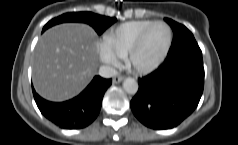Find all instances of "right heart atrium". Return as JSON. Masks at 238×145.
<instances>
[{
    "mask_svg": "<svg viewBox=\"0 0 238 145\" xmlns=\"http://www.w3.org/2000/svg\"><path fill=\"white\" fill-rule=\"evenodd\" d=\"M99 55L101 62L110 70L117 68L120 64L119 57L103 44Z\"/></svg>",
    "mask_w": 238,
    "mask_h": 145,
    "instance_id": "obj_1",
    "label": "right heart atrium"
}]
</instances>
